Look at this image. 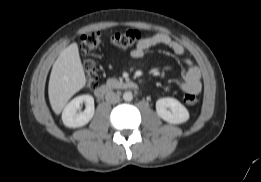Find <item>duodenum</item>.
<instances>
[{
  "label": "duodenum",
  "mask_w": 261,
  "mask_h": 182,
  "mask_svg": "<svg viewBox=\"0 0 261 182\" xmlns=\"http://www.w3.org/2000/svg\"><path fill=\"white\" fill-rule=\"evenodd\" d=\"M113 89L136 90L137 84L133 81H112L98 86L94 94L97 98H103Z\"/></svg>",
  "instance_id": "obj_1"
}]
</instances>
